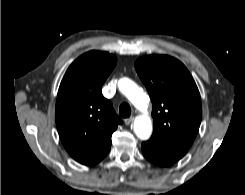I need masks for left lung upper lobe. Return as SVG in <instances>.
Listing matches in <instances>:
<instances>
[{
	"instance_id": "1",
	"label": "left lung upper lobe",
	"mask_w": 245,
	"mask_h": 195,
	"mask_svg": "<svg viewBox=\"0 0 245 195\" xmlns=\"http://www.w3.org/2000/svg\"><path fill=\"white\" fill-rule=\"evenodd\" d=\"M135 68L152 101L153 135L190 147L199 130L202 107L187 68L167 55L139 58Z\"/></svg>"
}]
</instances>
